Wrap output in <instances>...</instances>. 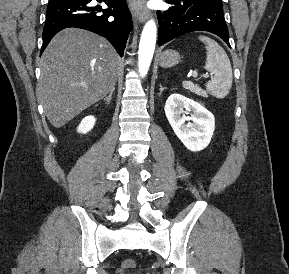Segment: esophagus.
Wrapping results in <instances>:
<instances>
[{"instance_id": "obj_1", "label": "esophagus", "mask_w": 289, "mask_h": 274, "mask_svg": "<svg viewBox=\"0 0 289 274\" xmlns=\"http://www.w3.org/2000/svg\"><path fill=\"white\" fill-rule=\"evenodd\" d=\"M132 9L135 11L139 22L143 23L149 15L147 8L145 7L146 0H130Z\"/></svg>"}]
</instances>
